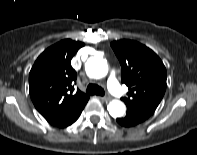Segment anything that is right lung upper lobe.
<instances>
[{"label": "right lung upper lobe", "mask_w": 197, "mask_h": 155, "mask_svg": "<svg viewBox=\"0 0 197 155\" xmlns=\"http://www.w3.org/2000/svg\"><path fill=\"white\" fill-rule=\"evenodd\" d=\"M82 42L62 40L46 49L35 61L29 74L30 96L38 112L52 125L67 127L82 112L89 96L73 83L77 74L71 66Z\"/></svg>", "instance_id": "1"}]
</instances>
